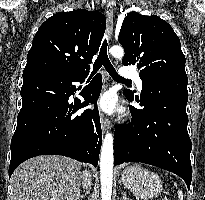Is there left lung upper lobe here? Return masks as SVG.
Here are the masks:
<instances>
[{"label":"left lung upper lobe","mask_w":205,"mask_h":200,"mask_svg":"<svg viewBox=\"0 0 205 200\" xmlns=\"http://www.w3.org/2000/svg\"><path fill=\"white\" fill-rule=\"evenodd\" d=\"M119 42L125 49L123 65H137L142 83L171 75L186 76L180 40L172 27L158 16L127 14Z\"/></svg>","instance_id":"1"}]
</instances>
